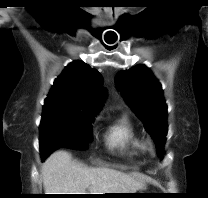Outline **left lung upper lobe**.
Listing matches in <instances>:
<instances>
[{
	"label": "left lung upper lobe",
	"instance_id": "obj_1",
	"mask_svg": "<svg viewBox=\"0 0 208 198\" xmlns=\"http://www.w3.org/2000/svg\"><path fill=\"white\" fill-rule=\"evenodd\" d=\"M116 84L154 139L158 156L163 158L168 128L167 105L161 84L145 65L118 72Z\"/></svg>",
	"mask_w": 208,
	"mask_h": 198
}]
</instances>
